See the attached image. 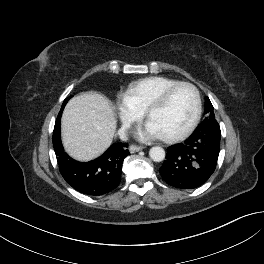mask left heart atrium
<instances>
[{"mask_svg": "<svg viewBox=\"0 0 264 264\" xmlns=\"http://www.w3.org/2000/svg\"><path fill=\"white\" fill-rule=\"evenodd\" d=\"M138 136L141 139H154L161 137L158 130L150 122L139 130Z\"/></svg>", "mask_w": 264, "mask_h": 264, "instance_id": "left-heart-atrium-1", "label": "left heart atrium"}]
</instances>
